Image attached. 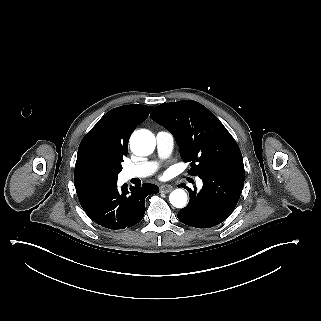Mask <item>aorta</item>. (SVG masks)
<instances>
[{
    "label": "aorta",
    "mask_w": 321,
    "mask_h": 321,
    "mask_svg": "<svg viewBox=\"0 0 321 321\" xmlns=\"http://www.w3.org/2000/svg\"><path fill=\"white\" fill-rule=\"evenodd\" d=\"M156 146L155 136L145 129L135 131L130 138L131 151L138 156L151 154ZM169 201L176 208H183L187 203V194L183 189H175L169 195Z\"/></svg>",
    "instance_id": "1"
}]
</instances>
